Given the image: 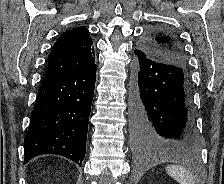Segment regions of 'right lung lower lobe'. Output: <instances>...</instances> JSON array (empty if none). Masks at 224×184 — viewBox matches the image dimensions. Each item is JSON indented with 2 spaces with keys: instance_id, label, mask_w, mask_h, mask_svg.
I'll list each match as a JSON object with an SVG mask.
<instances>
[{
  "instance_id": "98d812e1",
  "label": "right lung lower lobe",
  "mask_w": 224,
  "mask_h": 184,
  "mask_svg": "<svg viewBox=\"0 0 224 184\" xmlns=\"http://www.w3.org/2000/svg\"><path fill=\"white\" fill-rule=\"evenodd\" d=\"M95 80V63L77 72L45 76L24 139V164L41 154H56L81 166Z\"/></svg>"
}]
</instances>
